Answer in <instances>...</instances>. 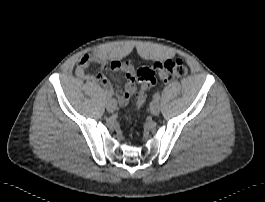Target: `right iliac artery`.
I'll return each mask as SVG.
<instances>
[{"instance_id": "1", "label": "right iliac artery", "mask_w": 265, "mask_h": 202, "mask_svg": "<svg viewBox=\"0 0 265 202\" xmlns=\"http://www.w3.org/2000/svg\"><path fill=\"white\" fill-rule=\"evenodd\" d=\"M106 96L108 97V98H110V95H109V93L106 91Z\"/></svg>"}]
</instances>
